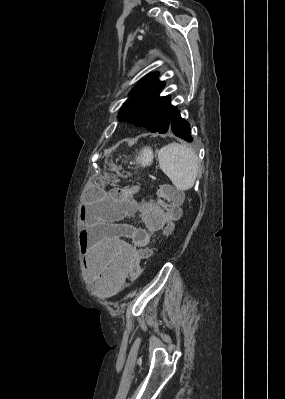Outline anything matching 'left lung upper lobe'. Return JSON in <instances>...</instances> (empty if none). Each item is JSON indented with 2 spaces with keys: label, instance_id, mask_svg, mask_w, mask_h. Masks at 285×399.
<instances>
[{
  "label": "left lung upper lobe",
  "instance_id": "5c2ea615",
  "mask_svg": "<svg viewBox=\"0 0 285 399\" xmlns=\"http://www.w3.org/2000/svg\"><path fill=\"white\" fill-rule=\"evenodd\" d=\"M164 86L156 73L144 77L121 107L119 120L145 127L152 133H166L177 107L171 105L169 96H159Z\"/></svg>",
  "mask_w": 285,
  "mask_h": 399
}]
</instances>
